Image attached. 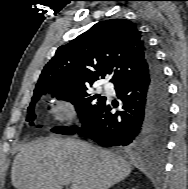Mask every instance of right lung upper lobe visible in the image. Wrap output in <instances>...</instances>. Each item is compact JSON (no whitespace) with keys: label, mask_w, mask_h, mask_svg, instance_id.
<instances>
[{"label":"right lung upper lobe","mask_w":188,"mask_h":189,"mask_svg":"<svg viewBox=\"0 0 188 189\" xmlns=\"http://www.w3.org/2000/svg\"><path fill=\"white\" fill-rule=\"evenodd\" d=\"M150 49L131 21H100L66 45L44 67L34 94L58 88L83 89L113 74L115 85L145 74Z\"/></svg>","instance_id":"1"}]
</instances>
